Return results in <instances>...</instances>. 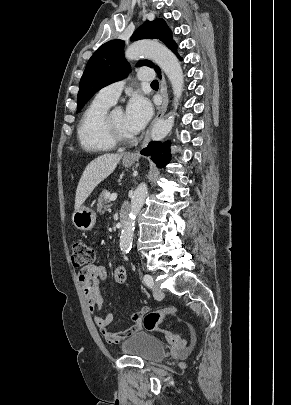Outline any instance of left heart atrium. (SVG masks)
Masks as SVG:
<instances>
[{
  "label": "left heart atrium",
  "instance_id": "1",
  "mask_svg": "<svg viewBox=\"0 0 291 405\" xmlns=\"http://www.w3.org/2000/svg\"><path fill=\"white\" fill-rule=\"evenodd\" d=\"M152 116L150 102L142 97H133L125 110V122L127 129L134 135L139 133L148 123Z\"/></svg>",
  "mask_w": 291,
  "mask_h": 405
}]
</instances>
